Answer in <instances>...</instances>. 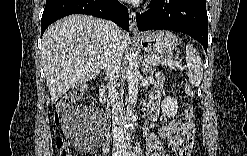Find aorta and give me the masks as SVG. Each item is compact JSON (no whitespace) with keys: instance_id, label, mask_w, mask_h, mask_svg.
Listing matches in <instances>:
<instances>
[{"instance_id":"762f6f07","label":"aorta","mask_w":247,"mask_h":156,"mask_svg":"<svg viewBox=\"0 0 247 156\" xmlns=\"http://www.w3.org/2000/svg\"><path fill=\"white\" fill-rule=\"evenodd\" d=\"M126 75L129 101L134 108L137 101L140 77L137 56L134 52H130V54L127 57Z\"/></svg>"}]
</instances>
